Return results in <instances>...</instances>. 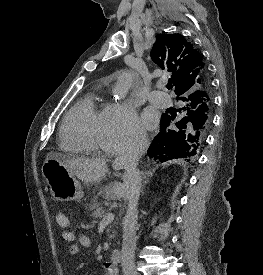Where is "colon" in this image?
Wrapping results in <instances>:
<instances>
[{
	"label": "colon",
	"instance_id": "obj_1",
	"mask_svg": "<svg viewBox=\"0 0 263 275\" xmlns=\"http://www.w3.org/2000/svg\"><path fill=\"white\" fill-rule=\"evenodd\" d=\"M56 222L57 224L63 228L66 229L69 227V218L68 216L63 212V211H59L56 214ZM68 231L63 232L64 236L66 239L69 238V235L67 234Z\"/></svg>",
	"mask_w": 263,
	"mask_h": 275
}]
</instances>
